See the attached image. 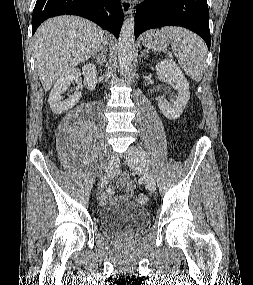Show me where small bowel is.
<instances>
[{"label": "small bowel", "mask_w": 253, "mask_h": 285, "mask_svg": "<svg viewBox=\"0 0 253 285\" xmlns=\"http://www.w3.org/2000/svg\"><path fill=\"white\" fill-rule=\"evenodd\" d=\"M118 184L123 186L125 193L122 196L116 197L113 187L107 188L101 195L100 202L102 205H110L116 202L128 201L135 191L134 183L127 177L126 174H122L118 179Z\"/></svg>", "instance_id": "obj_1"}]
</instances>
